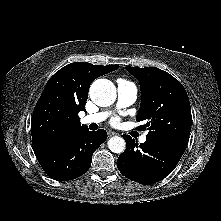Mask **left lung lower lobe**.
<instances>
[{
    "instance_id": "0a47b994",
    "label": "left lung lower lobe",
    "mask_w": 221,
    "mask_h": 221,
    "mask_svg": "<svg viewBox=\"0 0 221 221\" xmlns=\"http://www.w3.org/2000/svg\"><path fill=\"white\" fill-rule=\"evenodd\" d=\"M122 137L127 147L119 156L117 167L122 175L140 184H152L167 176L183 155L154 140L146 138L138 146L129 135Z\"/></svg>"
}]
</instances>
